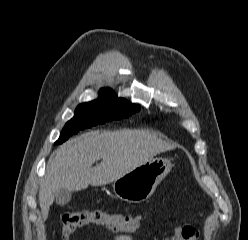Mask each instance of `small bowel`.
<instances>
[{
  "label": "small bowel",
  "mask_w": 248,
  "mask_h": 240,
  "mask_svg": "<svg viewBox=\"0 0 248 240\" xmlns=\"http://www.w3.org/2000/svg\"><path fill=\"white\" fill-rule=\"evenodd\" d=\"M198 231L190 225L176 226L172 236L163 238L162 240H197ZM113 240H134L132 234H117L113 236Z\"/></svg>",
  "instance_id": "small-bowel-1"
}]
</instances>
